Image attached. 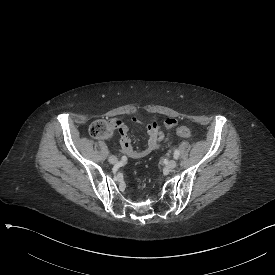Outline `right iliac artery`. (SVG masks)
<instances>
[{"label":"right iliac artery","mask_w":275,"mask_h":275,"mask_svg":"<svg viewBox=\"0 0 275 275\" xmlns=\"http://www.w3.org/2000/svg\"><path fill=\"white\" fill-rule=\"evenodd\" d=\"M126 160H127V158H126L125 156H123V157H122V161L125 162Z\"/></svg>","instance_id":"obj_1"}]
</instances>
